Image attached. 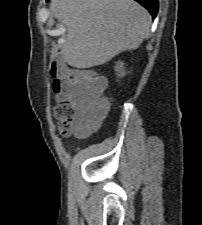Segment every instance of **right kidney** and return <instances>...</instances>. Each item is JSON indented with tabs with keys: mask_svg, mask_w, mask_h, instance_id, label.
Masks as SVG:
<instances>
[{
	"mask_svg": "<svg viewBox=\"0 0 202 225\" xmlns=\"http://www.w3.org/2000/svg\"><path fill=\"white\" fill-rule=\"evenodd\" d=\"M115 71L117 72L118 77H123L125 75L124 63L118 62L115 66Z\"/></svg>",
	"mask_w": 202,
	"mask_h": 225,
	"instance_id": "1",
	"label": "right kidney"
}]
</instances>
